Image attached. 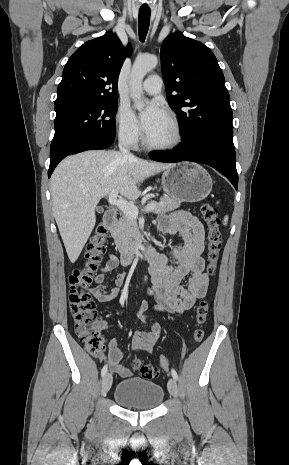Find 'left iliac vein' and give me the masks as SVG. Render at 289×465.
<instances>
[{"label":"left iliac vein","mask_w":289,"mask_h":465,"mask_svg":"<svg viewBox=\"0 0 289 465\" xmlns=\"http://www.w3.org/2000/svg\"><path fill=\"white\" fill-rule=\"evenodd\" d=\"M168 391L171 394V396L175 398L178 396V386L174 378H171L168 381Z\"/></svg>","instance_id":"1"}]
</instances>
